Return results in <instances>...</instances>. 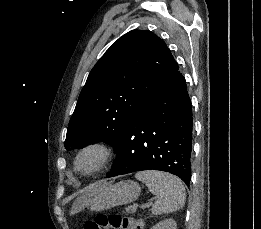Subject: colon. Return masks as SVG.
I'll return each instance as SVG.
<instances>
[{
    "mask_svg": "<svg viewBox=\"0 0 261 229\" xmlns=\"http://www.w3.org/2000/svg\"><path fill=\"white\" fill-rule=\"evenodd\" d=\"M83 229H140L138 222L121 213H99L84 224Z\"/></svg>",
    "mask_w": 261,
    "mask_h": 229,
    "instance_id": "obj_1",
    "label": "colon"
}]
</instances>
